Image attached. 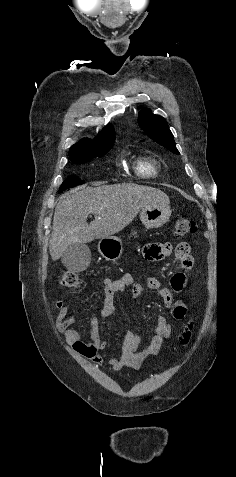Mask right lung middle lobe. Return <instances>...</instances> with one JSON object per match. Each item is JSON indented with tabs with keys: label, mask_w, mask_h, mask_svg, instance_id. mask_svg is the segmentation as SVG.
Returning a JSON list of instances; mask_svg holds the SVG:
<instances>
[{
	"label": "right lung middle lobe",
	"mask_w": 236,
	"mask_h": 477,
	"mask_svg": "<svg viewBox=\"0 0 236 477\" xmlns=\"http://www.w3.org/2000/svg\"><path fill=\"white\" fill-rule=\"evenodd\" d=\"M110 149L111 148H105V149L96 151L93 154L75 157L71 160L75 163L83 164V163H86V162L90 161L94 157L104 156L107 152H109ZM83 183H84V181H81L78 177L70 176L62 183L61 187L59 188L58 193L62 192L65 189H68V188H71L73 186L80 185V184H83Z\"/></svg>",
	"instance_id": "obj_1"
}]
</instances>
